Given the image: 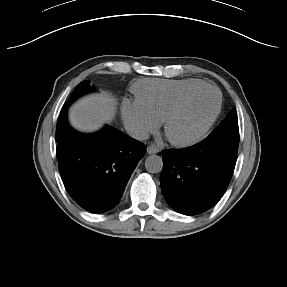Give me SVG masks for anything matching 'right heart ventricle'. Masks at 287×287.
<instances>
[{
	"label": "right heart ventricle",
	"instance_id": "e07e8e85",
	"mask_svg": "<svg viewBox=\"0 0 287 287\" xmlns=\"http://www.w3.org/2000/svg\"><path fill=\"white\" fill-rule=\"evenodd\" d=\"M201 84L204 82L198 79H144L136 84L135 94L137 101L161 122L185 92Z\"/></svg>",
	"mask_w": 287,
	"mask_h": 287
}]
</instances>
